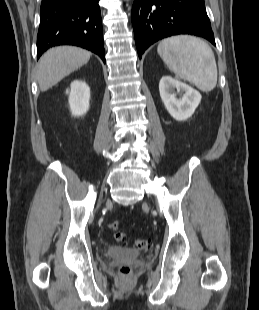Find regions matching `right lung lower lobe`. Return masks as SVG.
<instances>
[{
	"instance_id": "98d812e1",
	"label": "right lung lower lobe",
	"mask_w": 259,
	"mask_h": 310,
	"mask_svg": "<svg viewBox=\"0 0 259 310\" xmlns=\"http://www.w3.org/2000/svg\"><path fill=\"white\" fill-rule=\"evenodd\" d=\"M99 0H42L37 58L57 45L86 48L105 62Z\"/></svg>"
}]
</instances>
